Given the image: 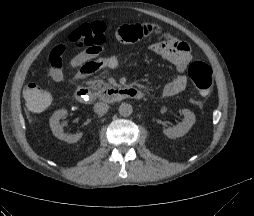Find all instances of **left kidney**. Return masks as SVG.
<instances>
[{
    "instance_id": "obj_1",
    "label": "left kidney",
    "mask_w": 254,
    "mask_h": 216,
    "mask_svg": "<svg viewBox=\"0 0 254 216\" xmlns=\"http://www.w3.org/2000/svg\"><path fill=\"white\" fill-rule=\"evenodd\" d=\"M184 119L174 127H169L163 130L164 135L168 138L175 139L184 136L195 123V114L189 109H182Z\"/></svg>"
}]
</instances>
